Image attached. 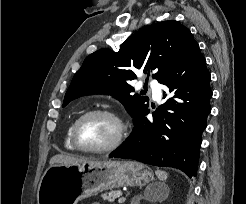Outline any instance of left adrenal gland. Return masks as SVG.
<instances>
[{
  "label": "left adrenal gland",
  "instance_id": "a2214340",
  "mask_svg": "<svg viewBox=\"0 0 246 204\" xmlns=\"http://www.w3.org/2000/svg\"><path fill=\"white\" fill-rule=\"evenodd\" d=\"M144 196L142 195H137L135 196L132 201H131V204H136L141 198H143Z\"/></svg>",
  "mask_w": 246,
  "mask_h": 204
}]
</instances>
